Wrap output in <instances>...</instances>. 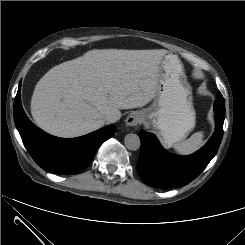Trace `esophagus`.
<instances>
[{
    "instance_id": "esophagus-1",
    "label": "esophagus",
    "mask_w": 245,
    "mask_h": 245,
    "mask_svg": "<svg viewBox=\"0 0 245 245\" xmlns=\"http://www.w3.org/2000/svg\"><path fill=\"white\" fill-rule=\"evenodd\" d=\"M142 121L143 115L139 112H133L126 118V124L131 127L139 125Z\"/></svg>"
}]
</instances>
